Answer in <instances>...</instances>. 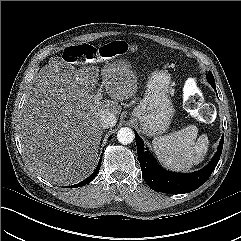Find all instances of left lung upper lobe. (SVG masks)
<instances>
[{
  "instance_id": "1",
  "label": "left lung upper lobe",
  "mask_w": 241,
  "mask_h": 241,
  "mask_svg": "<svg viewBox=\"0 0 241 241\" xmlns=\"http://www.w3.org/2000/svg\"><path fill=\"white\" fill-rule=\"evenodd\" d=\"M207 79H208L209 83H214V77H213L212 72H209V73H208Z\"/></svg>"
}]
</instances>
